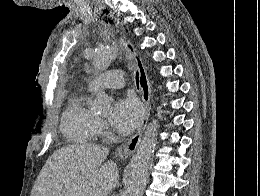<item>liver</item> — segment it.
<instances>
[{
	"instance_id": "obj_1",
	"label": "liver",
	"mask_w": 260,
	"mask_h": 196,
	"mask_svg": "<svg viewBox=\"0 0 260 196\" xmlns=\"http://www.w3.org/2000/svg\"><path fill=\"white\" fill-rule=\"evenodd\" d=\"M109 148L95 144L65 146L44 164L31 196H108L119 184V170L106 158Z\"/></svg>"
}]
</instances>
